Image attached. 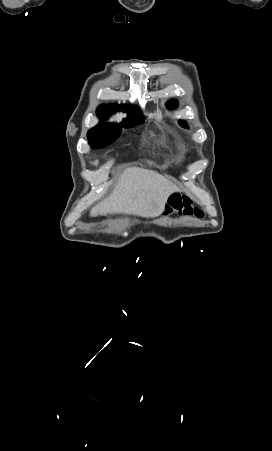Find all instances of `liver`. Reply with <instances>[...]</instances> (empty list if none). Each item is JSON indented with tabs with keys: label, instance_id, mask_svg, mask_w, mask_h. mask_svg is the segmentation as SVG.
<instances>
[{
	"label": "liver",
	"instance_id": "liver-1",
	"mask_svg": "<svg viewBox=\"0 0 272 451\" xmlns=\"http://www.w3.org/2000/svg\"><path fill=\"white\" fill-rule=\"evenodd\" d=\"M173 192H179V188L161 174L142 168H127L110 196L90 210V216L133 214L142 218H156L164 212L165 204Z\"/></svg>",
	"mask_w": 272,
	"mask_h": 451
}]
</instances>
